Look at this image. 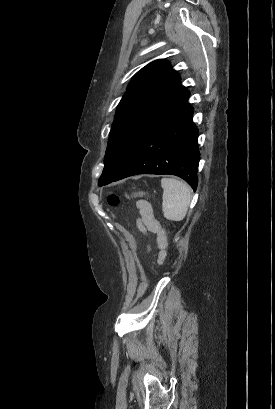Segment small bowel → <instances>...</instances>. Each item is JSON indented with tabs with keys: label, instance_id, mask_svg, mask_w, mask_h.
<instances>
[{
	"label": "small bowel",
	"instance_id": "1",
	"mask_svg": "<svg viewBox=\"0 0 275 409\" xmlns=\"http://www.w3.org/2000/svg\"><path fill=\"white\" fill-rule=\"evenodd\" d=\"M138 210L140 214L138 227L140 230L143 232L149 231L158 235L157 244L160 249L159 262L161 263L166 256L167 239L161 230L160 224L153 216L151 206L144 201H140L138 203Z\"/></svg>",
	"mask_w": 275,
	"mask_h": 409
}]
</instances>
